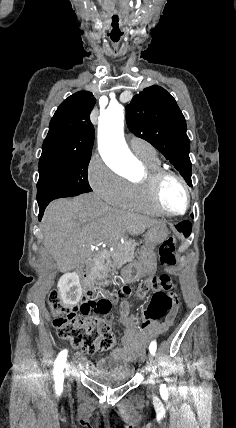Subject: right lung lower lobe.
Returning a JSON list of instances; mask_svg holds the SVG:
<instances>
[{"instance_id":"obj_1","label":"right lung lower lobe","mask_w":236,"mask_h":428,"mask_svg":"<svg viewBox=\"0 0 236 428\" xmlns=\"http://www.w3.org/2000/svg\"><path fill=\"white\" fill-rule=\"evenodd\" d=\"M50 202H51V201H48V202H46V203H43V204H40V205H39V215H38L39 220H41V218H42V216H43V213H44V210H45L46 206H47Z\"/></svg>"}]
</instances>
